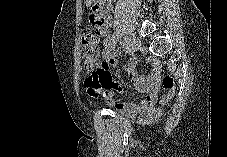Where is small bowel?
Segmentation results:
<instances>
[{
  "label": "small bowel",
  "instance_id": "1",
  "mask_svg": "<svg viewBox=\"0 0 227 157\" xmlns=\"http://www.w3.org/2000/svg\"><path fill=\"white\" fill-rule=\"evenodd\" d=\"M116 64L115 59V39L105 35L101 50V74L98 82L88 84L85 82L87 91L91 97L104 98L108 105L115 107L120 111L135 112L140 109L151 108L157 98L160 87V73L157 65L152 69L150 76H141L137 69L134 59H130L125 65V70L131 78L134 86L140 90L146 91L147 95L139 104L129 103L117 98V95L123 91L120 84L116 83L110 73V68Z\"/></svg>",
  "mask_w": 227,
  "mask_h": 157
}]
</instances>
